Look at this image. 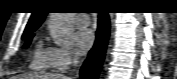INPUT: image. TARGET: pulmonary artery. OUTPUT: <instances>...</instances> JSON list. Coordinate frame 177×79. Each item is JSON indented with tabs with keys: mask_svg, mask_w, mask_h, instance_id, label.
<instances>
[{
	"mask_svg": "<svg viewBox=\"0 0 177 79\" xmlns=\"http://www.w3.org/2000/svg\"><path fill=\"white\" fill-rule=\"evenodd\" d=\"M75 24L79 26H87L90 22L87 14H78L74 19Z\"/></svg>",
	"mask_w": 177,
	"mask_h": 79,
	"instance_id": "e3ab8cb5",
	"label": "pulmonary artery"
}]
</instances>
